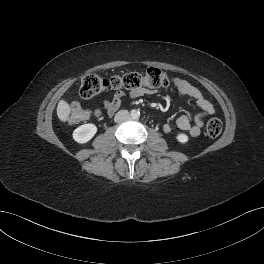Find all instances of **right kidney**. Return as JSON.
Returning a JSON list of instances; mask_svg holds the SVG:
<instances>
[{"mask_svg":"<svg viewBox=\"0 0 264 264\" xmlns=\"http://www.w3.org/2000/svg\"><path fill=\"white\" fill-rule=\"evenodd\" d=\"M97 132L94 124H84L76 128L73 132V139L78 143H86L93 138Z\"/></svg>","mask_w":264,"mask_h":264,"instance_id":"right-kidney-1","label":"right kidney"}]
</instances>
